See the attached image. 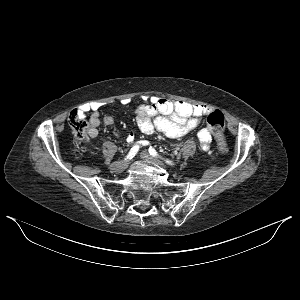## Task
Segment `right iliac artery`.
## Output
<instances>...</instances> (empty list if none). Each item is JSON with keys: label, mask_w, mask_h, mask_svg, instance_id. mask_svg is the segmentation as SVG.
Instances as JSON below:
<instances>
[{"label": "right iliac artery", "mask_w": 300, "mask_h": 300, "mask_svg": "<svg viewBox=\"0 0 300 300\" xmlns=\"http://www.w3.org/2000/svg\"><path fill=\"white\" fill-rule=\"evenodd\" d=\"M138 150H139V145L133 146L129 151V153L127 154L125 160H131L137 154Z\"/></svg>", "instance_id": "right-iliac-artery-1"}]
</instances>
